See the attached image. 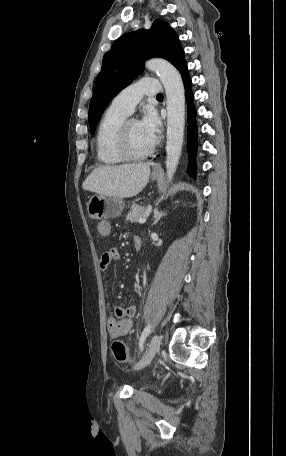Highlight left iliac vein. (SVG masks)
Returning a JSON list of instances; mask_svg holds the SVG:
<instances>
[{
    "label": "left iliac vein",
    "instance_id": "4c4485c4",
    "mask_svg": "<svg viewBox=\"0 0 286 456\" xmlns=\"http://www.w3.org/2000/svg\"><path fill=\"white\" fill-rule=\"evenodd\" d=\"M160 349V337L154 335L151 339L149 350L146 355L134 366L135 370H140L150 364L156 353Z\"/></svg>",
    "mask_w": 286,
    "mask_h": 456
}]
</instances>
